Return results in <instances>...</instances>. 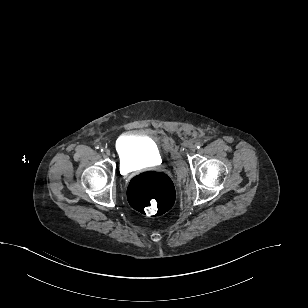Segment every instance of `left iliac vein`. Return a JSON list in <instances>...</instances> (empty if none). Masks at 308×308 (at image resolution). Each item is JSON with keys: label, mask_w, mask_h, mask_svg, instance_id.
<instances>
[{"label": "left iliac vein", "mask_w": 308, "mask_h": 308, "mask_svg": "<svg viewBox=\"0 0 308 308\" xmlns=\"http://www.w3.org/2000/svg\"><path fill=\"white\" fill-rule=\"evenodd\" d=\"M188 147L191 151H195L197 149L196 145L193 143H190Z\"/></svg>", "instance_id": "left-iliac-vein-1"}]
</instances>
